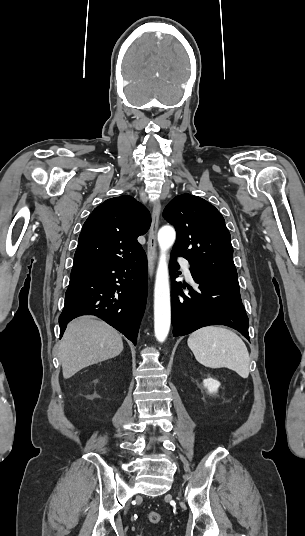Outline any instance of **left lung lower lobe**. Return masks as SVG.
Here are the masks:
<instances>
[{
	"label": "left lung lower lobe",
	"instance_id": "0a47b994",
	"mask_svg": "<svg viewBox=\"0 0 305 536\" xmlns=\"http://www.w3.org/2000/svg\"><path fill=\"white\" fill-rule=\"evenodd\" d=\"M176 256L171 254L170 275L176 278L179 269ZM199 290L184 294L181 282H172L171 315L174 337L187 335L201 327L226 325L249 340L248 317L241 301L238 278L199 272L190 267Z\"/></svg>",
	"mask_w": 305,
	"mask_h": 536
}]
</instances>
